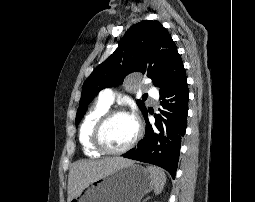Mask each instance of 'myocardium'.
Instances as JSON below:
<instances>
[{
    "mask_svg": "<svg viewBox=\"0 0 255 202\" xmlns=\"http://www.w3.org/2000/svg\"><path fill=\"white\" fill-rule=\"evenodd\" d=\"M118 115H127V116L132 117L136 123V133H135L134 137L132 138V140L128 144H126L124 147H122L120 149H111L104 142L103 132H104V129H105L106 125L108 124V122L112 118H114L115 116H118ZM141 136H142V126H141L140 122L126 110L116 108V109L107 110L98 119V121L96 122V124L93 128L91 140H92V144L94 145V147L101 153L118 155V154H123V153L129 151L132 147H134V145L139 141Z\"/></svg>",
    "mask_w": 255,
    "mask_h": 202,
    "instance_id": "myocardium-1",
    "label": "myocardium"
}]
</instances>
